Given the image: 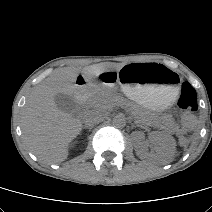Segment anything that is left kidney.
Instances as JSON below:
<instances>
[{"mask_svg": "<svg viewBox=\"0 0 212 212\" xmlns=\"http://www.w3.org/2000/svg\"><path fill=\"white\" fill-rule=\"evenodd\" d=\"M133 136L137 141L135 149L137 155L141 159L148 157L149 153L143 142L144 134L138 131L134 132ZM149 139L156 145V155L162 162H169L173 159L176 151V143L171 135L159 131H153L150 134Z\"/></svg>", "mask_w": 212, "mask_h": 212, "instance_id": "obj_1", "label": "left kidney"}]
</instances>
